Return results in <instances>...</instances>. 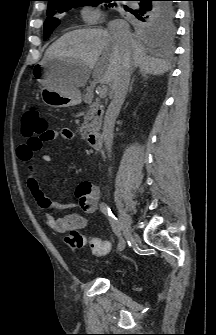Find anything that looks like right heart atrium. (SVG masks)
I'll return each mask as SVG.
<instances>
[{"mask_svg":"<svg viewBox=\"0 0 216 335\" xmlns=\"http://www.w3.org/2000/svg\"><path fill=\"white\" fill-rule=\"evenodd\" d=\"M83 20L90 24H95L101 20V12L98 8L86 6L81 11Z\"/></svg>","mask_w":216,"mask_h":335,"instance_id":"1","label":"right heart atrium"}]
</instances>
